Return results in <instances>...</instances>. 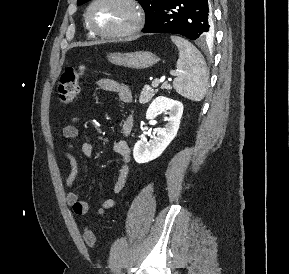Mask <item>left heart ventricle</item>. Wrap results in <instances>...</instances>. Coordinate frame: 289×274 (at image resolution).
Segmentation results:
<instances>
[{"mask_svg": "<svg viewBox=\"0 0 289 274\" xmlns=\"http://www.w3.org/2000/svg\"><path fill=\"white\" fill-rule=\"evenodd\" d=\"M90 17L97 29L116 31L131 23L132 10L119 0H103L92 8Z\"/></svg>", "mask_w": 289, "mask_h": 274, "instance_id": "1", "label": "left heart ventricle"}]
</instances>
